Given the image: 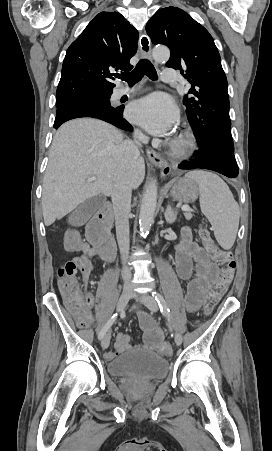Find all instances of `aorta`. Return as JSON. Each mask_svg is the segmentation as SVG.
<instances>
[{
    "label": "aorta",
    "instance_id": "aorta-1",
    "mask_svg": "<svg viewBox=\"0 0 272 451\" xmlns=\"http://www.w3.org/2000/svg\"><path fill=\"white\" fill-rule=\"evenodd\" d=\"M152 56L157 62L169 60L170 52L168 48H153ZM157 206V186L156 180H152L143 196L140 208V229L145 233L149 231L154 222L155 210Z\"/></svg>",
    "mask_w": 272,
    "mask_h": 451
}]
</instances>
